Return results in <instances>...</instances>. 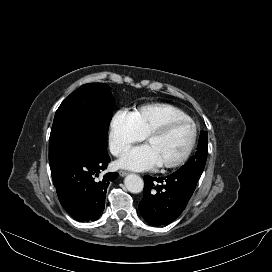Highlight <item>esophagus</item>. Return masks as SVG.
Segmentation results:
<instances>
[{
  "label": "esophagus",
  "mask_w": 272,
  "mask_h": 272,
  "mask_svg": "<svg viewBox=\"0 0 272 272\" xmlns=\"http://www.w3.org/2000/svg\"><path fill=\"white\" fill-rule=\"evenodd\" d=\"M127 174H128L127 171H123V170H120V171H119V175H120L121 177H124V176H126Z\"/></svg>",
  "instance_id": "esophagus-1"
}]
</instances>
